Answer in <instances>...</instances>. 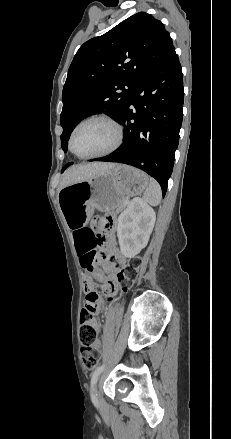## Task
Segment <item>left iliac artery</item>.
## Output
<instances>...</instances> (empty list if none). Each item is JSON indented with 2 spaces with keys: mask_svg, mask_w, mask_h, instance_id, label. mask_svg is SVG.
<instances>
[{
  "mask_svg": "<svg viewBox=\"0 0 231 439\" xmlns=\"http://www.w3.org/2000/svg\"><path fill=\"white\" fill-rule=\"evenodd\" d=\"M105 365H101L98 368L95 369V371L92 374V378H91V399L92 402L97 405V399H96V394H95V385L97 383V379L98 376L100 375V373L103 371Z\"/></svg>",
  "mask_w": 231,
  "mask_h": 439,
  "instance_id": "44dca946",
  "label": "left iliac artery"
}]
</instances>
